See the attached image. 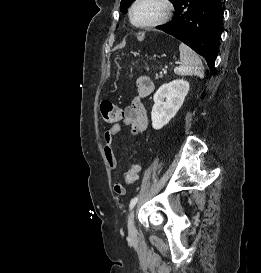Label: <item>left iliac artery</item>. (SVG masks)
Returning <instances> with one entry per match:
<instances>
[{"label":"left iliac artery","instance_id":"obj_1","mask_svg":"<svg viewBox=\"0 0 261 273\" xmlns=\"http://www.w3.org/2000/svg\"><path fill=\"white\" fill-rule=\"evenodd\" d=\"M137 201H138V197H134V198L131 200L130 205H129L130 210L136 205Z\"/></svg>","mask_w":261,"mask_h":273}]
</instances>
